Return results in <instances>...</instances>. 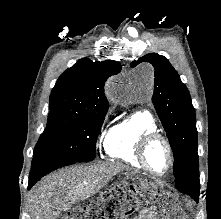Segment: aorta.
I'll use <instances>...</instances> for the list:
<instances>
[{
  "mask_svg": "<svg viewBox=\"0 0 221 219\" xmlns=\"http://www.w3.org/2000/svg\"><path fill=\"white\" fill-rule=\"evenodd\" d=\"M135 79L142 85L150 86L153 80V70L149 67H141L136 70ZM115 93H119L118 90Z\"/></svg>",
  "mask_w": 221,
  "mask_h": 219,
  "instance_id": "obj_1",
  "label": "aorta"
}]
</instances>
